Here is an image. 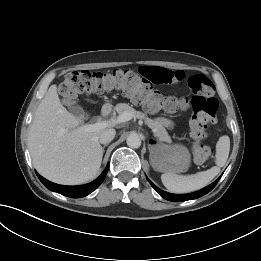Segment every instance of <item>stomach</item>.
Returning <instances> with one entry per match:
<instances>
[{
    "instance_id": "0dacf381",
    "label": "stomach",
    "mask_w": 261,
    "mask_h": 261,
    "mask_svg": "<svg viewBox=\"0 0 261 261\" xmlns=\"http://www.w3.org/2000/svg\"><path fill=\"white\" fill-rule=\"evenodd\" d=\"M149 151L150 164L156 171L176 174L186 171L190 166V153L184 145L152 141Z\"/></svg>"
}]
</instances>
